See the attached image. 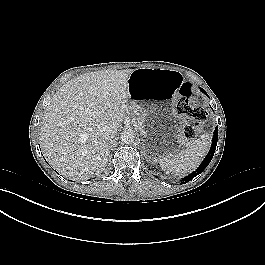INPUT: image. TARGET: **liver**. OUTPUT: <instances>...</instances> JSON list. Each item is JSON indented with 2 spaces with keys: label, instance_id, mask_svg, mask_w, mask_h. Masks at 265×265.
I'll return each instance as SVG.
<instances>
[{
  "label": "liver",
  "instance_id": "1",
  "mask_svg": "<svg viewBox=\"0 0 265 265\" xmlns=\"http://www.w3.org/2000/svg\"><path fill=\"white\" fill-rule=\"evenodd\" d=\"M133 70L98 71L64 84L44 112L40 140L50 165L67 178L102 172L109 147L105 126L119 128L130 114L128 80Z\"/></svg>",
  "mask_w": 265,
  "mask_h": 265
}]
</instances>
